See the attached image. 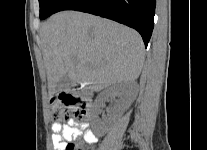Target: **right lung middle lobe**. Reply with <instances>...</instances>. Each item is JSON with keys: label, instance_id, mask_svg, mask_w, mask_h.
Instances as JSON below:
<instances>
[{"label": "right lung middle lobe", "instance_id": "obj_1", "mask_svg": "<svg viewBox=\"0 0 207 150\" xmlns=\"http://www.w3.org/2000/svg\"><path fill=\"white\" fill-rule=\"evenodd\" d=\"M64 0H39L40 19H45L56 12Z\"/></svg>", "mask_w": 207, "mask_h": 150}]
</instances>
